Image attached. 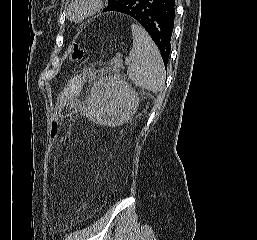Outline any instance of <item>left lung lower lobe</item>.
Here are the masks:
<instances>
[{
    "mask_svg": "<svg viewBox=\"0 0 257 240\" xmlns=\"http://www.w3.org/2000/svg\"><path fill=\"white\" fill-rule=\"evenodd\" d=\"M108 11L126 14L135 19L151 35L167 68L170 41L175 18V0H124Z\"/></svg>",
    "mask_w": 257,
    "mask_h": 240,
    "instance_id": "1",
    "label": "left lung lower lobe"
}]
</instances>
